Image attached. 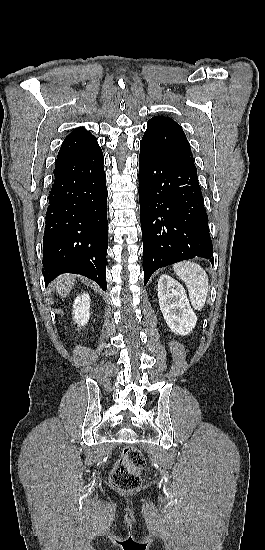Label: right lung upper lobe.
Listing matches in <instances>:
<instances>
[{"label": "right lung upper lobe", "instance_id": "obj_1", "mask_svg": "<svg viewBox=\"0 0 265 550\" xmlns=\"http://www.w3.org/2000/svg\"><path fill=\"white\" fill-rule=\"evenodd\" d=\"M100 149L97 139L91 133L80 127L73 130L65 138L59 152L56 162L65 159L86 155Z\"/></svg>", "mask_w": 265, "mask_h": 550}]
</instances>
